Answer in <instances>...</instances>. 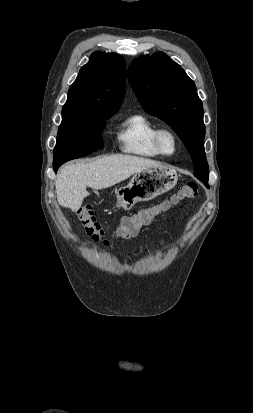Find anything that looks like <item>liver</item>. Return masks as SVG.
Wrapping results in <instances>:
<instances>
[{
    "instance_id": "obj_1",
    "label": "liver",
    "mask_w": 253,
    "mask_h": 413,
    "mask_svg": "<svg viewBox=\"0 0 253 413\" xmlns=\"http://www.w3.org/2000/svg\"><path fill=\"white\" fill-rule=\"evenodd\" d=\"M157 167L163 166L154 160L131 155H111L67 165L55 181L58 203L75 212L89 195L87 187L108 188L137 172Z\"/></svg>"
}]
</instances>
